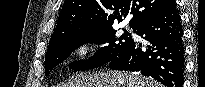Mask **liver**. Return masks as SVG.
Listing matches in <instances>:
<instances>
[{
    "mask_svg": "<svg viewBox=\"0 0 205 87\" xmlns=\"http://www.w3.org/2000/svg\"><path fill=\"white\" fill-rule=\"evenodd\" d=\"M61 87H159V84L138 73L109 71L81 75Z\"/></svg>",
    "mask_w": 205,
    "mask_h": 87,
    "instance_id": "liver-1",
    "label": "liver"
}]
</instances>
